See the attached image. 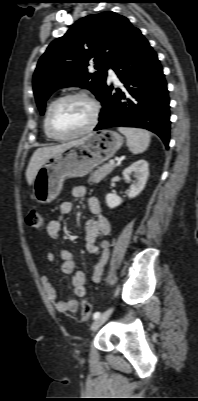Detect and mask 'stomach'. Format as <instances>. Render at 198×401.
<instances>
[{
	"mask_svg": "<svg viewBox=\"0 0 198 401\" xmlns=\"http://www.w3.org/2000/svg\"><path fill=\"white\" fill-rule=\"evenodd\" d=\"M123 137L113 130H102L82 137L47 159L34 180V198L40 204L53 201L63 182L83 177L107 161L121 148Z\"/></svg>",
	"mask_w": 198,
	"mask_h": 401,
	"instance_id": "stomach-1",
	"label": "stomach"
}]
</instances>
